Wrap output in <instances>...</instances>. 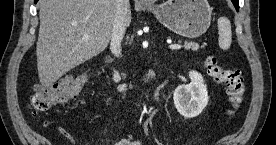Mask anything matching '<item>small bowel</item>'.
<instances>
[{"label":"small bowel","mask_w":276,"mask_h":145,"mask_svg":"<svg viewBox=\"0 0 276 145\" xmlns=\"http://www.w3.org/2000/svg\"><path fill=\"white\" fill-rule=\"evenodd\" d=\"M116 145H142V142L140 139L129 135L128 137L120 140Z\"/></svg>","instance_id":"small-bowel-1"}]
</instances>
